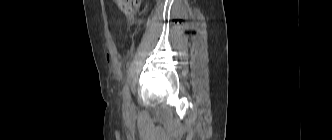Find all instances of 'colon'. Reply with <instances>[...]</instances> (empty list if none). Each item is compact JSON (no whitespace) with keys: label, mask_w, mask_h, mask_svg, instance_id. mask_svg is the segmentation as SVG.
<instances>
[{"label":"colon","mask_w":332,"mask_h":140,"mask_svg":"<svg viewBox=\"0 0 332 140\" xmlns=\"http://www.w3.org/2000/svg\"><path fill=\"white\" fill-rule=\"evenodd\" d=\"M142 0H115L119 9L126 15H131L140 5Z\"/></svg>","instance_id":"colon-1"}]
</instances>
